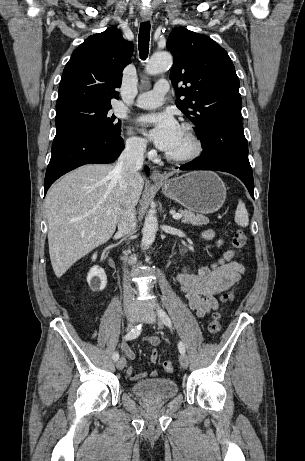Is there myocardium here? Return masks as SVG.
<instances>
[{
	"label": "myocardium",
	"instance_id": "obj_1",
	"mask_svg": "<svg viewBox=\"0 0 305 461\" xmlns=\"http://www.w3.org/2000/svg\"><path fill=\"white\" fill-rule=\"evenodd\" d=\"M181 128L188 134L190 140L192 141L193 148L189 153L180 156L165 153V158L173 163L191 162L202 154L204 148L203 142L192 124L183 123Z\"/></svg>",
	"mask_w": 305,
	"mask_h": 461
}]
</instances>
